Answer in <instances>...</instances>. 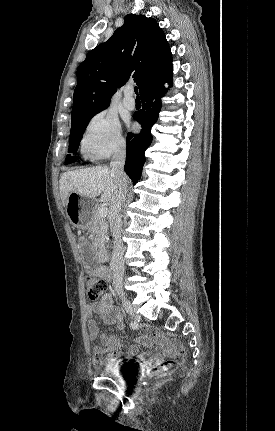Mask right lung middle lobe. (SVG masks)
<instances>
[{
  "label": "right lung middle lobe",
  "instance_id": "dd1d6c3e",
  "mask_svg": "<svg viewBox=\"0 0 275 431\" xmlns=\"http://www.w3.org/2000/svg\"><path fill=\"white\" fill-rule=\"evenodd\" d=\"M95 114L96 113L91 114L87 117H84L78 121L71 123L70 143H69V149H68V152L70 154H68L66 157V160H65L66 164L74 162L77 160V158L72 157L71 154H74L77 152L79 145H80V141H81L82 136H83V133L85 131V128H86L88 122L90 121V119Z\"/></svg>",
  "mask_w": 275,
  "mask_h": 431
}]
</instances>
